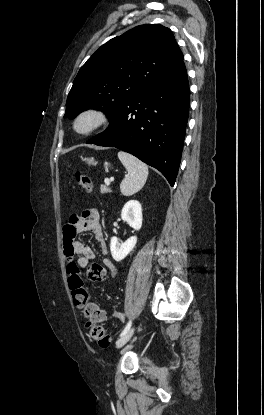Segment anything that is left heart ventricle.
<instances>
[{
    "mask_svg": "<svg viewBox=\"0 0 264 415\" xmlns=\"http://www.w3.org/2000/svg\"><path fill=\"white\" fill-rule=\"evenodd\" d=\"M89 124H90V120H89V119H85V120H83V121L80 123L79 127H80L81 129H84V128H86Z\"/></svg>",
    "mask_w": 264,
    "mask_h": 415,
    "instance_id": "b2bd125f",
    "label": "left heart ventricle"
}]
</instances>
